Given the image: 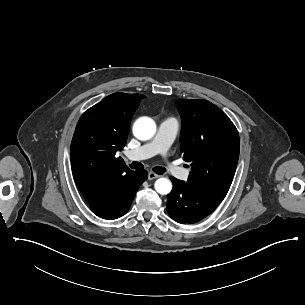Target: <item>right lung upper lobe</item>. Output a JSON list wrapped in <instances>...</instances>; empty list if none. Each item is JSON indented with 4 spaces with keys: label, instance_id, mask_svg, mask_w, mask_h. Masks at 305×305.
<instances>
[{
    "label": "right lung upper lobe",
    "instance_id": "cb5924a9",
    "mask_svg": "<svg viewBox=\"0 0 305 305\" xmlns=\"http://www.w3.org/2000/svg\"><path fill=\"white\" fill-rule=\"evenodd\" d=\"M144 97L114 93L81 116L70 157L74 181L86 201L132 172L115 154L125 146L131 118Z\"/></svg>",
    "mask_w": 305,
    "mask_h": 305
}]
</instances>
